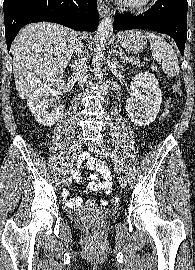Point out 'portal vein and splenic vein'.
I'll return each mask as SVG.
<instances>
[{
    "label": "portal vein and splenic vein",
    "instance_id": "1",
    "mask_svg": "<svg viewBox=\"0 0 195 270\" xmlns=\"http://www.w3.org/2000/svg\"><path fill=\"white\" fill-rule=\"evenodd\" d=\"M122 54L123 53H121V52H117V55L120 56V57H122Z\"/></svg>",
    "mask_w": 195,
    "mask_h": 270
}]
</instances>
